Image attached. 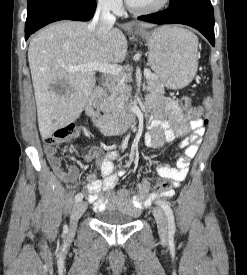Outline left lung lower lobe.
<instances>
[{
    "mask_svg": "<svg viewBox=\"0 0 247 275\" xmlns=\"http://www.w3.org/2000/svg\"><path fill=\"white\" fill-rule=\"evenodd\" d=\"M157 24H184L199 30L214 46V12L210 0H187L170 8L138 17Z\"/></svg>",
    "mask_w": 247,
    "mask_h": 275,
    "instance_id": "left-lung-lower-lobe-1",
    "label": "left lung lower lobe"
}]
</instances>
